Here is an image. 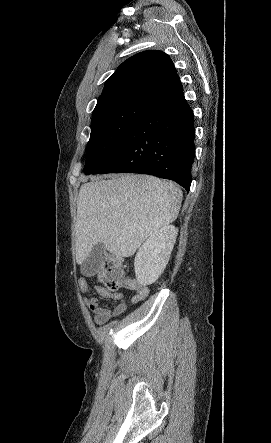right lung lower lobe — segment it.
Returning a JSON list of instances; mask_svg holds the SVG:
<instances>
[{"mask_svg":"<svg viewBox=\"0 0 271 443\" xmlns=\"http://www.w3.org/2000/svg\"><path fill=\"white\" fill-rule=\"evenodd\" d=\"M193 118L183 93L152 104L110 159L91 174H150L173 180L189 191L195 155Z\"/></svg>","mask_w":271,"mask_h":443,"instance_id":"98d812e1","label":"right lung lower lobe"}]
</instances>
